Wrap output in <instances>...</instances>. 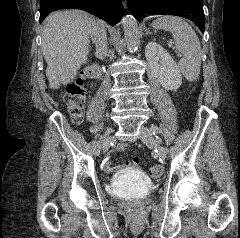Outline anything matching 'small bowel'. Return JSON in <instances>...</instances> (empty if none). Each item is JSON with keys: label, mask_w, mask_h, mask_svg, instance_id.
I'll list each match as a JSON object with an SVG mask.
<instances>
[{"label": "small bowel", "mask_w": 240, "mask_h": 238, "mask_svg": "<svg viewBox=\"0 0 240 238\" xmlns=\"http://www.w3.org/2000/svg\"><path fill=\"white\" fill-rule=\"evenodd\" d=\"M135 143H122L121 146H116V151H123L125 148H135ZM139 164V157L138 156H131L130 159H127V164H117L116 167H109L108 164L104 165V175H110L111 172H116L117 169H127V167H137ZM128 165V166H127Z\"/></svg>", "instance_id": "small-bowel-1"}]
</instances>
